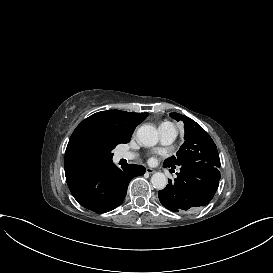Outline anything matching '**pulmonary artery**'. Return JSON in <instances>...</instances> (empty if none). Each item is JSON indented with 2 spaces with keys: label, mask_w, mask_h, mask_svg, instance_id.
I'll return each mask as SVG.
<instances>
[{
  "label": "pulmonary artery",
  "mask_w": 273,
  "mask_h": 273,
  "mask_svg": "<svg viewBox=\"0 0 273 273\" xmlns=\"http://www.w3.org/2000/svg\"><path fill=\"white\" fill-rule=\"evenodd\" d=\"M160 131L162 133V142L164 144H171L174 142V140L177 137V127L174 123L169 122L167 124H164L161 126ZM122 157L125 159H133L135 158V154L130 153V152H125L122 154Z\"/></svg>",
  "instance_id": "1"
}]
</instances>
